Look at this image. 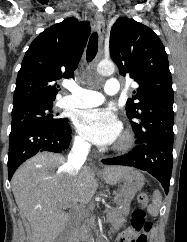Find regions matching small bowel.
Instances as JSON below:
<instances>
[{
  "label": "small bowel",
  "mask_w": 187,
  "mask_h": 242,
  "mask_svg": "<svg viewBox=\"0 0 187 242\" xmlns=\"http://www.w3.org/2000/svg\"><path fill=\"white\" fill-rule=\"evenodd\" d=\"M123 224L117 225L116 229L122 228ZM133 230L131 228H124L117 239V242H128V240L132 237Z\"/></svg>",
  "instance_id": "obj_1"
}]
</instances>
